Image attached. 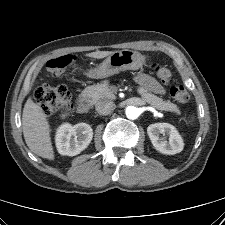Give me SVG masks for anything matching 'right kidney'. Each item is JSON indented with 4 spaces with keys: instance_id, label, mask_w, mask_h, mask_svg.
Wrapping results in <instances>:
<instances>
[{
    "instance_id": "obj_1",
    "label": "right kidney",
    "mask_w": 225,
    "mask_h": 225,
    "mask_svg": "<svg viewBox=\"0 0 225 225\" xmlns=\"http://www.w3.org/2000/svg\"><path fill=\"white\" fill-rule=\"evenodd\" d=\"M93 138V130L86 123L74 126L64 123L56 132V147L61 155L75 156L88 147Z\"/></svg>"
}]
</instances>
